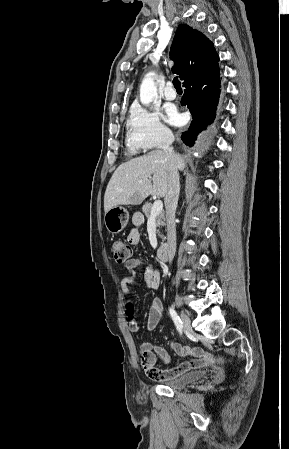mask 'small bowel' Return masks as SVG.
Instances as JSON below:
<instances>
[{"label": "small bowel", "instance_id": "c3829d8e", "mask_svg": "<svg viewBox=\"0 0 289 449\" xmlns=\"http://www.w3.org/2000/svg\"><path fill=\"white\" fill-rule=\"evenodd\" d=\"M134 227L127 235V241L133 246H137L140 241L139 227L142 224L140 217L133 218ZM142 265V261L138 258H132L125 263L129 275L123 278L121 288L123 294L127 297L131 295V287L137 285L136 269ZM144 281L148 289L157 290L160 285V272L152 267H146L144 271ZM163 315V304L159 298H154L150 304L148 311V318L146 322L147 331H153L159 324ZM129 329L132 332L139 330V324L132 314L128 316ZM171 348L181 356L191 355L194 358L184 361L177 366L160 369L155 366L157 358L163 363H170V356L167 351L160 345H154L148 341L141 340L139 342V350L142 354L141 364L147 376L155 381H164L176 378L193 369H201L207 366L217 364L221 365L224 358L221 356L215 357L211 354L205 353L199 347L181 346L178 343L172 342Z\"/></svg>", "mask_w": 289, "mask_h": 449}]
</instances>
